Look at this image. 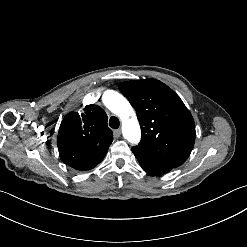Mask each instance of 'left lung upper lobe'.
<instances>
[{
    "instance_id": "obj_1",
    "label": "left lung upper lobe",
    "mask_w": 247,
    "mask_h": 247,
    "mask_svg": "<svg viewBox=\"0 0 247 247\" xmlns=\"http://www.w3.org/2000/svg\"><path fill=\"white\" fill-rule=\"evenodd\" d=\"M119 89L141 126V141L133 148L174 168L182 165L194 146L195 123L179 96L156 79L123 82Z\"/></svg>"
}]
</instances>
